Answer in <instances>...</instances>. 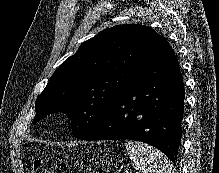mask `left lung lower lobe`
Segmentation results:
<instances>
[{
    "mask_svg": "<svg viewBox=\"0 0 219 173\" xmlns=\"http://www.w3.org/2000/svg\"><path fill=\"white\" fill-rule=\"evenodd\" d=\"M136 79L132 88L80 139L142 141L176 164L185 90L178 60L167 40L141 65Z\"/></svg>",
    "mask_w": 219,
    "mask_h": 173,
    "instance_id": "left-lung-lower-lobe-1",
    "label": "left lung lower lobe"
}]
</instances>
